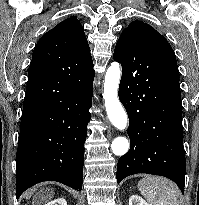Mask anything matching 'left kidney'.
<instances>
[{"label":"left kidney","mask_w":199,"mask_h":205,"mask_svg":"<svg viewBox=\"0 0 199 205\" xmlns=\"http://www.w3.org/2000/svg\"><path fill=\"white\" fill-rule=\"evenodd\" d=\"M129 205H149L142 197L132 195L129 198Z\"/></svg>","instance_id":"left-kidney-1"}]
</instances>
